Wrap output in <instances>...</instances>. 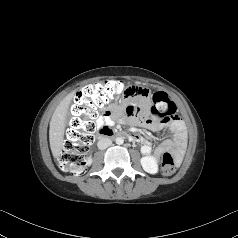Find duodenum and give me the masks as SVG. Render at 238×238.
I'll list each match as a JSON object with an SVG mask.
<instances>
[{
    "mask_svg": "<svg viewBox=\"0 0 238 238\" xmlns=\"http://www.w3.org/2000/svg\"><path fill=\"white\" fill-rule=\"evenodd\" d=\"M99 136L101 138L103 137H110V136H117V137H126L128 138L130 141H134L137 142L138 136L132 133H128V132H115L112 129L108 128V127H103L99 130Z\"/></svg>",
    "mask_w": 238,
    "mask_h": 238,
    "instance_id": "duodenum-1",
    "label": "duodenum"
}]
</instances>
